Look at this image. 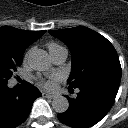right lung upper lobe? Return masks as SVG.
Listing matches in <instances>:
<instances>
[{"label":"right lung upper lobe","mask_w":128,"mask_h":128,"mask_svg":"<svg viewBox=\"0 0 128 128\" xmlns=\"http://www.w3.org/2000/svg\"><path fill=\"white\" fill-rule=\"evenodd\" d=\"M44 33L45 31H27L2 26L0 27V51L23 56L25 49Z\"/></svg>","instance_id":"cb5924a9"}]
</instances>
